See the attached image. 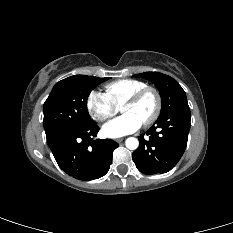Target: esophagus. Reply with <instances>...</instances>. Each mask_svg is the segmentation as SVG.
<instances>
[{
  "mask_svg": "<svg viewBox=\"0 0 233 233\" xmlns=\"http://www.w3.org/2000/svg\"><path fill=\"white\" fill-rule=\"evenodd\" d=\"M124 140V138H118L116 139V142L121 143Z\"/></svg>",
  "mask_w": 233,
  "mask_h": 233,
  "instance_id": "34e87169",
  "label": "esophagus"
}]
</instances>
